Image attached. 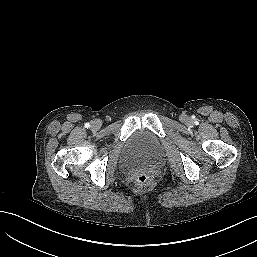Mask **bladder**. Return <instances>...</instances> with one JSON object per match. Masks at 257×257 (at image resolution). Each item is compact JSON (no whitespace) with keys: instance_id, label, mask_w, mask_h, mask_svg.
<instances>
[{"instance_id":"bladder-1","label":"bladder","mask_w":257,"mask_h":257,"mask_svg":"<svg viewBox=\"0 0 257 257\" xmlns=\"http://www.w3.org/2000/svg\"><path fill=\"white\" fill-rule=\"evenodd\" d=\"M163 149L158 137L147 129H137L127 139L122 161L128 170L152 168L162 159Z\"/></svg>"}]
</instances>
